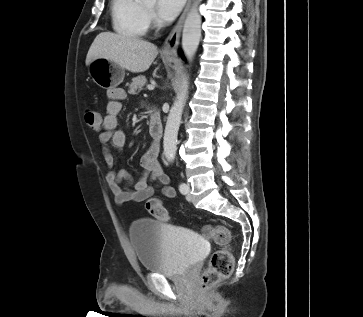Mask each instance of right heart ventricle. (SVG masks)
<instances>
[{
  "instance_id": "right-heart-ventricle-1",
  "label": "right heart ventricle",
  "mask_w": 363,
  "mask_h": 317,
  "mask_svg": "<svg viewBox=\"0 0 363 317\" xmlns=\"http://www.w3.org/2000/svg\"><path fill=\"white\" fill-rule=\"evenodd\" d=\"M113 29L121 36L141 38L148 31V17L141 0H112Z\"/></svg>"
}]
</instances>
